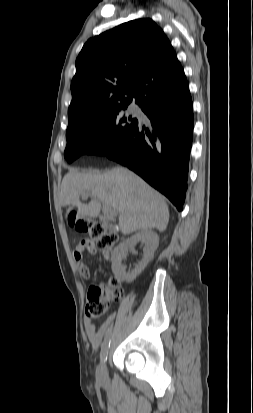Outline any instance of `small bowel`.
Listing matches in <instances>:
<instances>
[{"mask_svg": "<svg viewBox=\"0 0 253 413\" xmlns=\"http://www.w3.org/2000/svg\"><path fill=\"white\" fill-rule=\"evenodd\" d=\"M88 251L90 254L95 255L97 249L95 245L88 241H81L73 252V258L77 264L78 269L83 273L85 277H88V268L83 261V254ZM115 313L110 314L99 326L93 322V318L86 317L84 319V328L86 335L94 348H98L106 335L112 330L115 320Z\"/></svg>", "mask_w": 253, "mask_h": 413, "instance_id": "small-bowel-1", "label": "small bowel"}]
</instances>
